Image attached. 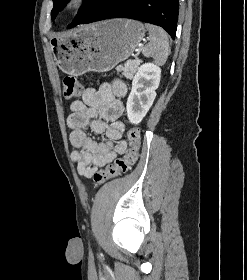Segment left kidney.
<instances>
[{"label": "left kidney", "mask_w": 247, "mask_h": 280, "mask_svg": "<svg viewBox=\"0 0 247 280\" xmlns=\"http://www.w3.org/2000/svg\"><path fill=\"white\" fill-rule=\"evenodd\" d=\"M160 77L161 68L154 63H145L138 68L126 104L127 116L132 124L140 123L151 108Z\"/></svg>", "instance_id": "left-kidney-1"}]
</instances>
